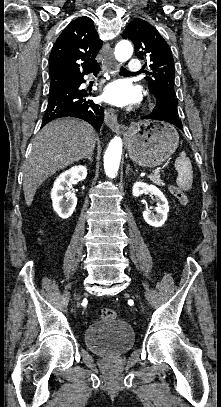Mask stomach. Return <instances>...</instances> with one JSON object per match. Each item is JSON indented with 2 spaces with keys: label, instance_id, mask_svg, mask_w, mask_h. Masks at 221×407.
Listing matches in <instances>:
<instances>
[{
  "label": "stomach",
  "instance_id": "obj_1",
  "mask_svg": "<svg viewBox=\"0 0 221 407\" xmlns=\"http://www.w3.org/2000/svg\"><path fill=\"white\" fill-rule=\"evenodd\" d=\"M128 153L142 167H157L165 162L177 149L179 135L169 123L143 121L129 129Z\"/></svg>",
  "mask_w": 221,
  "mask_h": 407
}]
</instances>
